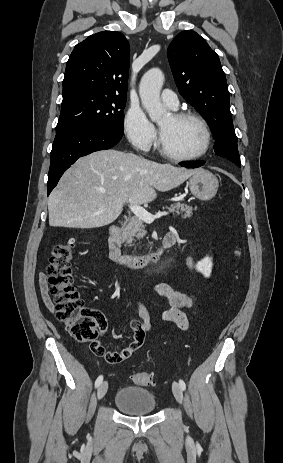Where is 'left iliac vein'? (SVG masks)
<instances>
[{"instance_id": "1", "label": "left iliac vein", "mask_w": 283, "mask_h": 463, "mask_svg": "<svg viewBox=\"0 0 283 463\" xmlns=\"http://www.w3.org/2000/svg\"><path fill=\"white\" fill-rule=\"evenodd\" d=\"M172 391L176 400L181 404L183 402V392L182 388L177 382H173Z\"/></svg>"}]
</instances>
